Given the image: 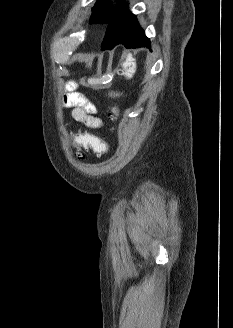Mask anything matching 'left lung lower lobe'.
<instances>
[{
	"mask_svg": "<svg viewBox=\"0 0 233 328\" xmlns=\"http://www.w3.org/2000/svg\"><path fill=\"white\" fill-rule=\"evenodd\" d=\"M118 44L126 48H150V40L139 26L136 16L128 11V6L109 24L101 47L102 50L113 49Z\"/></svg>",
	"mask_w": 233,
	"mask_h": 328,
	"instance_id": "0a47b994",
	"label": "left lung lower lobe"
}]
</instances>
